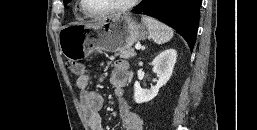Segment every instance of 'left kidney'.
Segmentation results:
<instances>
[{
    "instance_id": "5707ae66",
    "label": "left kidney",
    "mask_w": 257,
    "mask_h": 130,
    "mask_svg": "<svg viewBox=\"0 0 257 130\" xmlns=\"http://www.w3.org/2000/svg\"><path fill=\"white\" fill-rule=\"evenodd\" d=\"M177 52L174 49H167L161 52L152 62L153 72L157 75V84L150 89H142L139 82L134 84V100L136 103L149 102L155 98L159 89L170 79L176 63Z\"/></svg>"
}]
</instances>
